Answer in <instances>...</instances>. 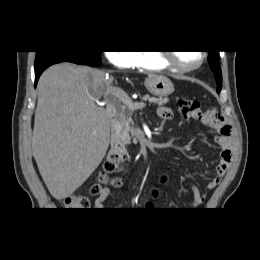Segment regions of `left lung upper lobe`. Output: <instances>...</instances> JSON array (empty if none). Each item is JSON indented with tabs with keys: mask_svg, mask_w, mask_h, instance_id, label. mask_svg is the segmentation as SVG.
Instances as JSON below:
<instances>
[{
	"mask_svg": "<svg viewBox=\"0 0 260 260\" xmlns=\"http://www.w3.org/2000/svg\"><path fill=\"white\" fill-rule=\"evenodd\" d=\"M208 62L211 66V69L215 73V77L217 81V91L220 92L222 87V73L219 67L217 51H209Z\"/></svg>",
	"mask_w": 260,
	"mask_h": 260,
	"instance_id": "1",
	"label": "left lung upper lobe"
}]
</instances>
